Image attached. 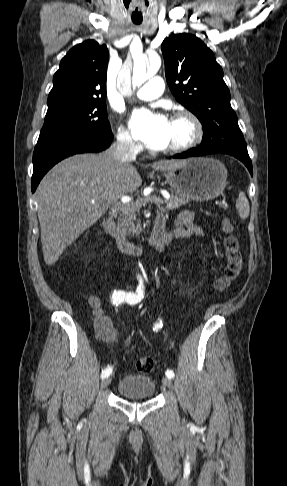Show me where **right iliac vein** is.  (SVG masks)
<instances>
[{
  "instance_id": "obj_1",
  "label": "right iliac vein",
  "mask_w": 287,
  "mask_h": 486,
  "mask_svg": "<svg viewBox=\"0 0 287 486\" xmlns=\"http://www.w3.org/2000/svg\"><path fill=\"white\" fill-rule=\"evenodd\" d=\"M111 383V378L110 377H106L102 380L101 382V388H106L109 386V384Z\"/></svg>"
}]
</instances>
